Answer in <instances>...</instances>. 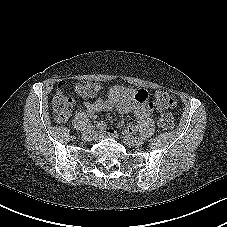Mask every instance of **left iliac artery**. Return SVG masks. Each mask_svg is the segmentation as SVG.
I'll list each match as a JSON object with an SVG mask.
<instances>
[{
	"label": "left iliac artery",
	"mask_w": 227,
	"mask_h": 227,
	"mask_svg": "<svg viewBox=\"0 0 227 227\" xmlns=\"http://www.w3.org/2000/svg\"><path fill=\"white\" fill-rule=\"evenodd\" d=\"M142 141H145V136L143 134H141V136L139 137Z\"/></svg>",
	"instance_id": "44dca946"
}]
</instances>
